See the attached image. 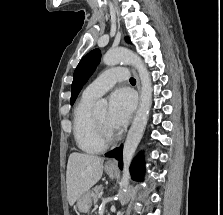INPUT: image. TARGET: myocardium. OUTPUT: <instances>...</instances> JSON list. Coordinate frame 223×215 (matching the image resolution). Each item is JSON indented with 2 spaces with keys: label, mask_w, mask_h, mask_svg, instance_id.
Wrapping results in <instances>:
<instances>
[{
  "label": "myocardium",
  "mask_w": 223,
  "mask_h": 215,
  "mask_svg": "<svg viewBox=\"0 0 223 215\" xmlns=\"http://www.w3.org/2000/svg\"><path fill=\"white\" fill-rule=\"evenodd\" d=\"M93 124H94L96 139L102 146L106 148L114 146L118 142L119 136L115 133L110 140L106 138L105 129L103 128L101 123L97 120L95 114H93Z\"/></svg>",
  "instance_id": "1"
}]
</instances>
